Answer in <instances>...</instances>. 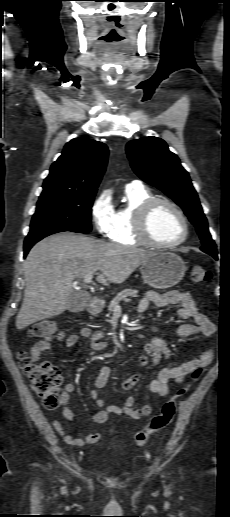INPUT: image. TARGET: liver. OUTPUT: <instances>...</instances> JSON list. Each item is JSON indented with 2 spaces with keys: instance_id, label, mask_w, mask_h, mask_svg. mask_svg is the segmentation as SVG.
I'll list each match as a JSON object with an SVG mask.
<instances>
[{
  "instance_id": "obj_1",
  "label": "liver",
  "mask_w": 230,
  "mask_h": 517,
  "mask_svg": "<svg viewBox=\"0 0 230 517\" xmlns=\"http://www.w3.org/2000/svg\"><path fill=\"white\" fill-rule=\"evenodd\" d=\"M152 254L68 232L41 240L24 263L26 287L16 328L21 330L63 313L73 293L74 279L92 273L103 285L120 284Z\"/></svg>"
}]
</instances>
